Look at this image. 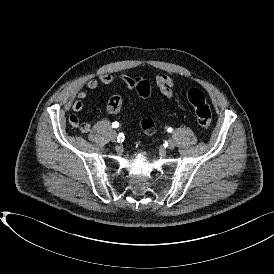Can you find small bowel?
<instances>
[{"instance_id":"c3829d8e","label":"small bowel","mask_w":274,"mask_h":274,"mask_svg":"<svg viewBox=\"0 0 274 274\" xmlns=\"http://www.w3.org/2000/svg\"><path fill=\"white\" fill-rule=\"evenodd\" d=\"M175 76L176 74L170 71L159 74L155 79L156 86L158 87L160 93L169 100L174 97V90L176 88ZM115 83H123L130 90L134 88L132 79L126 75L103 73L98 77H91L86 82V89H81L77 93V99L72 104V110L77 113L83 109L84 102L88 97V90H96L101 84L111 85ZM71 116H74V123L71 124L73 127L78 128L83 134L90 132V123L81 122L75 115Z\"/></svg>"}]
</instances>
